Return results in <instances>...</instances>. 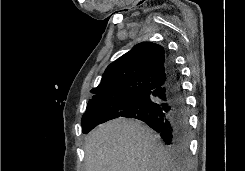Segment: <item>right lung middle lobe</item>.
Masks as SVG:
<instances>
[{"label": "right lung middle lobe", "mask_w": 245, "mask_h": 171, "mask_svg": "<svg viewBox=\"0 0 245 171\" xmlns=\"http://www.w3.org/2000/svg\"><path fill=\"white\" fill-rule=\"evenodd\" d=\"M130 99L131 97L123 95L89 102L82 117L83 133H88L103 120L117 113L122 105Z\"/></svg>", "instance_id": "dd1d6c3e"}]
</instances>
